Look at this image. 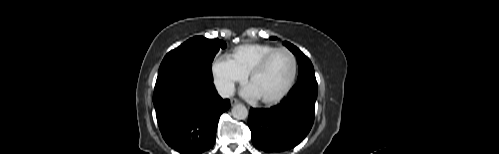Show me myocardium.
Masks as SVG:
<instances>
[{
	"instance_id": "f54148a6",
	"label": "myocardium",
	"mask_w": 499,
	"mask_h": 154,
	"mask_svg": "<svg viewBox=\"0 0 499 154\" xmlns=\"http://www.w3.org/2000/svg\"><path fill=\"white\" fill-rule=\"evenodd\" d=\"M277 53H286L292 62V72L290 79L286 86L283 88V90L276 96L272 98H265V99H260L262 103L264 104H276L280 102L286 95L291 91L295 80L297 76V70H298V65H297V59L295 55L288 49L286 48H276L275 50L271 51L267 55H265L257 64H255L252 69L248 73V81L250 82L254 76L259 74L261 71L264 70V68L267 66L268 62L277 54Z\"/></svg>"
}]
</instances>
